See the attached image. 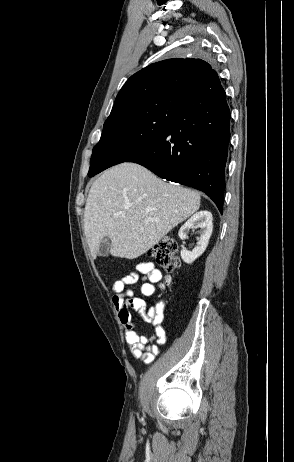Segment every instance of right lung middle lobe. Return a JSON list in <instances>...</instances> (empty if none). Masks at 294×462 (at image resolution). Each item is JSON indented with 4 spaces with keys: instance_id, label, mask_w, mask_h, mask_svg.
<instances>
[{
    "instance_id": "dd1d6c3e",
    "label": "right lung middle lobe",
    "mask_w": 294,
    "mask_h": 462,
    "mask_svg": "<svg viewBox=\"0 0 294 462\" xmlns=\"http://www.w3.org/2000/svg\"><path fill=\"white\" fill-rule=\"evenodd\" d=\"M186 98L169 93L112 112L104 123L92 159L98 173L125 162L137 149L162 131L180 112Z\"/></svg>"
}]
</instances>
